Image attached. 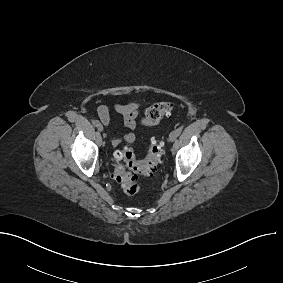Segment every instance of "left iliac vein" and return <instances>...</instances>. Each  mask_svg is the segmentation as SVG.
<instances>
[{"instance_id": "obj_1", "label": "left iliac vein", "mask_w": 283, "mask_h": 283, "mask_svg": "<svg viewBox=\"0 0 283 283\" xmlns=\"http://www.w3.org/2000/svg\"><path fill=\"white\" fill-rule=\"evenodd\" d=\"M176 138H177L176 131H172V132L170 133V135H169V140H170L171 142H173V141L176 140Z\"/></svg>"}]
</instances>
